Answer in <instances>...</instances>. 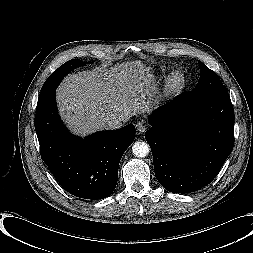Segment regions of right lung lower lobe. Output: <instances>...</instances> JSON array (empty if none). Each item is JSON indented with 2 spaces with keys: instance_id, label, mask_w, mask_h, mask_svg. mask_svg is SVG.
Wrapping results in <instances>:
<instances>
[{
  "instance_id": "right-lung-lower-lobe-1",
  "label": "right lung lower lobe",
  "mask_w": 253,
  "mask_h": 253,
  "mask_svg": "<svg viewBox=\"0 0 253 253\" xmlns=\"http://www.w3.org/2000/svg\"><path fill=\"white\" fill-rule=\"evenodd\" d=\"M35 130L41 157L56 180L84 199H102L114 191L120 159L135 139L134 125L84 139L73 136L59 118L55 91L37 103Z\"/></svg>"
}]
</instances>
